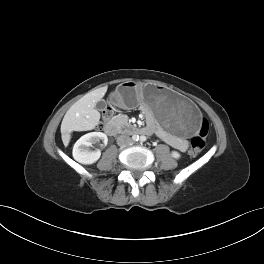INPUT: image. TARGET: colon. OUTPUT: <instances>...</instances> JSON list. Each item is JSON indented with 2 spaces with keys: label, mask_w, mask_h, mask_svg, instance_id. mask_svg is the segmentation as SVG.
<instances>
[{
  "label": "colon",
  "mask_w": 264,
  "mask_h": 264,
  "mask_svg": "<svg viewBox=\"0 0 264 264\" xmlns=\"http://www.w3.org/2000/svg\"><path fill=\"white\" fill-rule=\"evenodd\" d=\"M112 116V111L110 108H107L103 112V119L108 120ZM209 131V123L206 119L201 121L199 130L195 136L191 139V155H197L201 152L206 144V137Z\"/></svg>",
  "instance_id": "5ec220e1"
}]
</instances>
